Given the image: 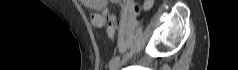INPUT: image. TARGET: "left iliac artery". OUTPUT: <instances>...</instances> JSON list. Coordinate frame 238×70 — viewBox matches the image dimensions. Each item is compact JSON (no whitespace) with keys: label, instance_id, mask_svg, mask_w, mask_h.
Instances as JSON below:
<instances>
[{"label":"left iliac artery","instance_id":"left-iliac-artery-1","mask_svg":"<svg viewBox=\"0 0 238 70\" xmlns=\"http://www.w3.org/2000/svg\"><path fill=\"white\" fill-rule=\"evenodd\" d=\"M136 37L133 38V41H130V46H127V51H132L134 49V46L136 45V42H139L140 41V38H141V33H136L135 35ZM120 60V57L119 56H115L110 62H109V66L112 67L114 66L115 64L118 63V61Z\"/></svg>","mask_w":238,"mask_h":70}]
</instances>
